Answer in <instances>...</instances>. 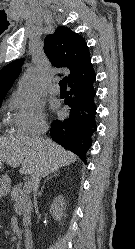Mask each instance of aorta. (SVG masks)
Returning a JSON list of instances; mask_svg holds the SVG:
<instances>
[{"mask_svg": "<svg viewBox=\"0 0 135 249\" xmlns=\"http://www.w3.org/2000/svg\"><path fill=\"white\" fill-rule=\"evenodd\" d=\"M41 75L37 69L27 72L21 79L18 89V99L21 103L32 105L40 98Z\"/></svg>", "mask_w": 135, "mask_h": 249, "instance_id": "1", "label": "aorta"}]
</instances>
